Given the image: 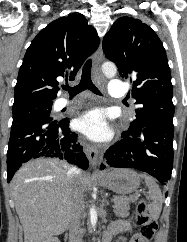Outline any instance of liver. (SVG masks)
<instances>
[{
  "label": "liver",
  "mask_w": 187,
  "mask_h": 242,
  "mask_svg": "<svg viewBox=\"0 0 187 242\" xmlns=\"http://www.w3.org/2000/svg\"><path fill=\"white\" fill-rule=\"evenodd\" d=\"M69 169L65 161L42 158L24 164L14 175L11 190L24 242H46L69 227L74 183L85 191L90 179L81 173L72 182Z\"/></svg>",
  "instance_id": "liver-1"
}]
</instances>
